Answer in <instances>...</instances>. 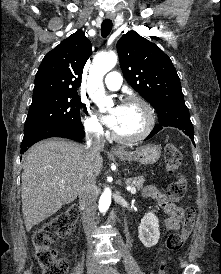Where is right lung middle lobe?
I'll return each instance as SVG.
<instances>
[{"label":"right lung middle lobe","instance_id":"obj_1","mask_svg":"<svg viewBox=\"0 0 221 274\" xmlns=\"http://www.w3.org/2000/svg\"><path fill=\"white\" fill-rule=\"evenodd\" d=\"M80 105L81 100L77 93L33 99L25 121L24 132L50 124L83 129Z\"/></svg>","mask_w":221,"mask_h":274}]
</instances>
